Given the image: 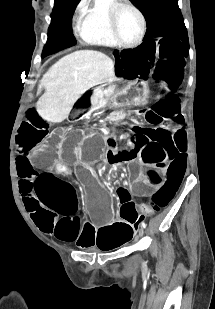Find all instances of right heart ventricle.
I'll return each mask as SVG.
<instances>
[{
	"label": "right heart ventricle",
	"instance_id": "1",
	"mask_svg": "<svg viewBox=\"0 0 215 309\" xmlns=\"http://www.w3.org/2000/svg\"><path fill=\"white\" fill-rule=\"evenodd\" d=\"M80 24L85 41L102 46H112L110 42L114 41V36L110 28L107 9H96V14H86Z\"/></svg>",
	"mask_w": 215,
	"mask_h": 309
}]
</instances>
